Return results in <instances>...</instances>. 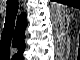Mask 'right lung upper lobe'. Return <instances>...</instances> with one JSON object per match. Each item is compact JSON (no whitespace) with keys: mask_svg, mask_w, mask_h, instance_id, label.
<instances>
[{"mask_svg":"<svg viewBox=\"0 0 80 60\" xmlns=\"http://www.w3.org/2000/svg\"><path fill=\"white\" fill-rule=\"evenodd\" d=\"M27 26L26 14L23 13L19 16L16 24V29L13 37V46L18 47V55H21L25 48V28Z\"/></svg>","mask_w":80,"mask_h":60,"instance_id":"cb5924a9","label":"right lung upper lobe"}]
</instances>
